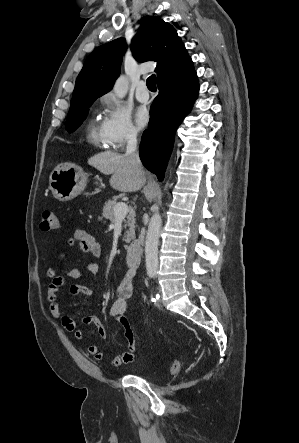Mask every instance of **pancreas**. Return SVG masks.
<instances>
[{
  "label": "pancreas",
  "mask_w": 299,
  "mask_h": 443,
  "mask_svg": "<svg viewBox=\"0 0 299 443\" xmlns=\"http://www.w3.org/2000/svg\"><path fill=\"white\" fill-rule=\"evenodd\" d=\"M117 205L116 200H109L105 203L103 207V217L110 220L112 223H115L116 217L114 215V208ZM126 219H123V227L126 228L127 226L129 229L126 231L125 236L123 237V241L126 243L131 242L135 239V215L134 213H129V215L126 217Z\"/></svg>",
  "instance_id": "obj_1"
}]
</instances>
